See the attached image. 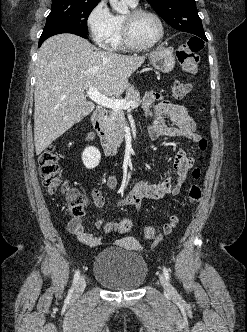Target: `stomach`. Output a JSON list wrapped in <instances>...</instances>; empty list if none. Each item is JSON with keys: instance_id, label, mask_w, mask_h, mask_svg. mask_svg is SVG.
Returning a JSON list of instances; mask_svg holds the SVG:
<instances>
[{"instance_id": "obj_1", "label": "stomach", "mask_w": 247, "mask_h": 332, "mask_svg": "<svg viewBox=\"0 0 247 332\" xmlns=\"http://www.w3.org/2000/svg\"><path fill=\"white\" fill-rule=\"evenodd\" d=\"M152 66L161 72L168 73L175 66V57L171 48H159L150 55Z\"/></svg>"}]
</instances>
